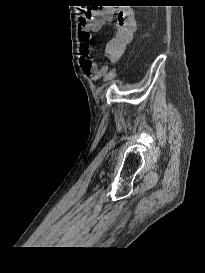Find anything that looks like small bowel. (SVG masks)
<instances>
[{
  "label": "small bowel",
  "mask_w": 205,
  "mask_h": 273,
  "mask_svg": "<svg viewBox=\"0 0 205 273\" xmlns=\"http://www.w3.org/2000/svg\"><path fill=\"white\" fill-rule=\"evenodd\" d=\"M116 13L115 35L105 45L106 57L110 62L115 63L123 56L136 31L137 23L133 14L127 9L117 11L114 7L106 6L99 11L87 12L79 18L80 65L84 74L92 80L105 77L109 68L107 65H98L90 58L92 54L91 32L98 31L103 25L111 23Z\"/></svg>",
  "instance_id": "1"
}]
</instances>
